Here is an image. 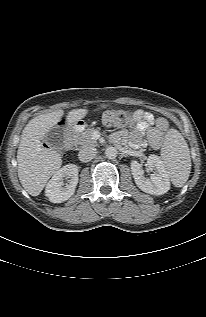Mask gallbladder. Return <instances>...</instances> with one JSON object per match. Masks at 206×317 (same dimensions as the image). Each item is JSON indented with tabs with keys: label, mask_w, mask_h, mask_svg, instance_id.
<instances>
[{
	"label": "gallbladder",
	"mask_w": 206,
	"mask_h": 317,
	"mask_svg": "<svg viewBox=\"0 0 206 317\" xmlns=\"http://www.w3.org/2000/svg\"><path fill=\"white\" fill-rule=\"evenodd\" d=\"M45 141L53 150L62 149L65 142V130L63 127L55 126L46 134Z\"/></svg>",
	"instance_id": "obj_1"
}]
</instances>
